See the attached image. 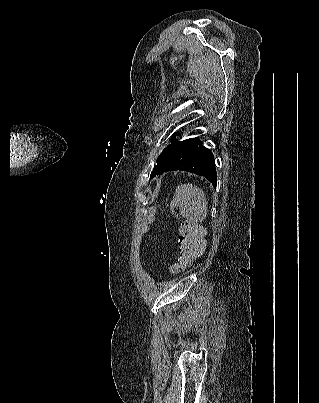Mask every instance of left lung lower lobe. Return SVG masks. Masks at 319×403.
<instances>
[{
  "label": "left lung lower lobe",
  "mask_w": 319,
  "mask_h": 403,
  "mask_svg": "<svg viewBox=\"0 0 319 403\" xmlns=\"http://www.w3.org/2000/svg\"><path fill=\"white\" fill-rule=\"evenodd\" d=\"M176 170L201 175L216 188L217 173L214 156L197 138L186 139L180 144L164 172Z\"/></svg>",
  "instance_id": "1"
}]
</instances>
